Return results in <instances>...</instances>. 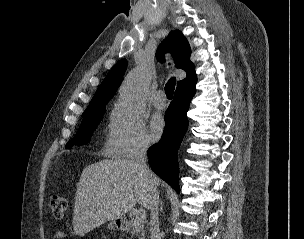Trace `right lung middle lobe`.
<instances>
[{"mask_svg": "<svg viewBox=\"0 0 304 239\" xmlns=\"http://www.w3.org/2000/svg\"><path fill=\"white\" fill-rule=\"evenodd\" d=\"M104 112H105V105L98 108H92L86 110L82 115L84 119L80 125L77 134L70 142H68L66 148H70L75 145L87 144L90 141L93 130L101 121Z\"/></svg>", "mask_w": 304, "mask_h": 239, "instance_id": "right-lung-middle-lobe-1", "label": "right lung middle lobe"}]
</instances>
